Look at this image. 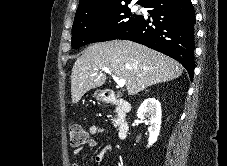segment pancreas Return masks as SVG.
<instances>
[{"mask_svg":"<svg viewBox=\"0 0 227 166\" xmlns=\"http://www.w3.org/2000/svg\"><path fill=\"white\" fill-rule=\"evenodd\" d=\"M119 123H120V120H119V118H113L112 119V124L115 126V127H117L118 125H119Z\"/></svg>","mask_w":227,"mask_h":166,"instance_id":"pancreas-1","label":"pancreas"}]
</instances>
